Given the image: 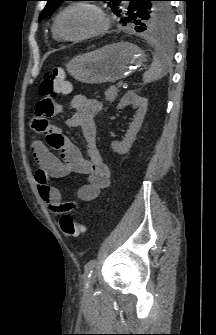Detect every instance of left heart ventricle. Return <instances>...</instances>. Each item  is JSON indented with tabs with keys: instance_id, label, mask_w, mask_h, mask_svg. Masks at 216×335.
Instances as JSON below:
<instances>
[{
	"instance_id": "left-heart-ventricle-1",
	"label": "left heart ventricle",
	"mask_w": 216,
	"mask_h": 335,
	"mask_svg": "<svg viewBox=\"0 0 216 335\" xmlns=\"http://www.w3.org/2000/svg\"><path fill=\"white\" fill-rule=\"evenodd\" d=\"M99 16L86 7H76L67 11L60 19V29L67 36H79L100 25Z\"/></svg>"
}]
</instances>
